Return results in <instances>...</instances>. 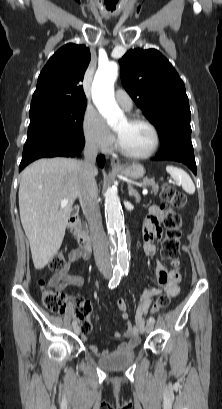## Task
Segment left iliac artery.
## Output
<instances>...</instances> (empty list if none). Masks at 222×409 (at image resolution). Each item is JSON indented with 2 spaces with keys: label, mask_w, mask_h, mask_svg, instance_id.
<instances>
[{
  "label": "left iliac artery",
  "mask_w": 222,
  "mask_h": 409,
  "mask_svg": "<svg viewBox=\"0 0 222 409\" xmlns=\"http://www.w3.org/2000/svg\"><path fill=\"white\" fill-rule=\"evenodd\" d=\"M127 273H128L127 270H124V271H123V274H126V275H127ZM149 322H151V323L154 324V323H155L154 317H150V318H149Z\"/></svg>",
  "instance_id": "obj_1"
}]
</instances>
